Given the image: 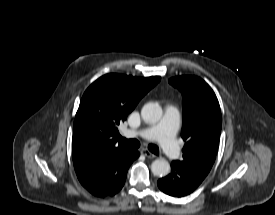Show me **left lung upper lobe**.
<instances>
[{"mask_svg":"<svg viewBox=\"0 0 275 215\" xmlns=\"http://www.w3.org/2000/svg\"><path fill=\"white\" fill-rule=\"evenodd\" d=\"M169 83L182 93L183 128L186 141L183 160L186 169L206 177L215 161L222 126L217 97L211 87L196 76H179Z\"/></svg>","mask_w":275,"mask_h":215,"instance_id":"left-lung-upper-lobe-1","label":"left lung upper lobe"}]
</instances>
